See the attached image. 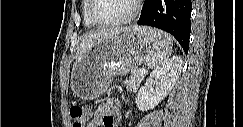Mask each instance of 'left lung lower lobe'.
Segmentation results:
<instances>
[{
    "instance_id": "obj_1",
    "label": "left lung lower lobe",
    "mask_w": 243,
    "mask_h": 127,
    "mask_svg": "<svg viewBox=\"0 0 243 127\" xmlns=\"http://www.w3.org/2000/svg\"><path fill=\"white\" fill-rule=\"evenodd\" d=\"M191 10V0H145L137 24L171 33L188 53Z\"/></svg>"
}]
</instances>
